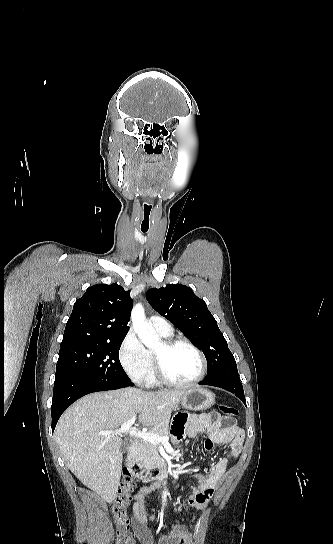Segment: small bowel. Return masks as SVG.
Segmentation results:
<instances>
[{
	"mask_svg": "<svg viewBox=\"0 0 333 544\" xmlns=\"http://www.w3.org/2000/svg\"><path fill=\"white\" fill-rule=\"evenodd\" d=\"M227 422L228 425H224ZM208 434L204 443L205 450H212L215 444H228L227 453L213 463L206 474H197V484L192 489V495L183 503L185 508L196 507L204 509L215 488L224 477L228 463L236 458L242 448L243 432L237 428L232 419H224L218 413L189 415L177 418L173 424L172 440L174 443L182 440L186 435L194 437L199 434ZM157 484L154 485L156 487ZM148 493L143 488L136 496L132 511V527L142 544H153V537L146 526L143 498ZM158 544H192V536L181 525L174 526L169 533L158 539Z\"/></svg>",
	"mask_w": 333,
	"mask_h": 544,
	"instance_id": "c3829d8e",
	"label": "small bowel"
}]
</instances>
